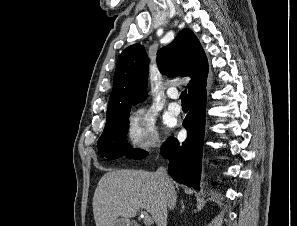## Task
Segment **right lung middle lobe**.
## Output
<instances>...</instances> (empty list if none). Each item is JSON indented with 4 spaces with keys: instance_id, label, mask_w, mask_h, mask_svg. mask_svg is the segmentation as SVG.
<instances>
[{
    "instance_id": "obj_1",
    "label": "right lung middle lobe",
    "mask_w": 297,
    "mask_h": 226,
    "mask_svg": "<svg viewBox=\"0 0 297 226\" xmlns=\"http://www.w3.org/2000/svg\"><path fill=\"white\" fill-rule=\"evenodd\" d=\"M130 109L114 108L107 111V122L98 140L97 148L99 153L109 160L119 158L120 155H127L132 159H141L147 156V153L140 149L131 150L125 143Z\"/></svg>"
}]
</instances>
